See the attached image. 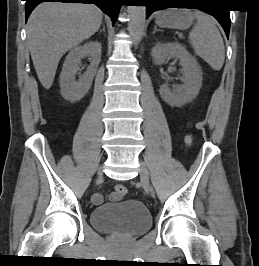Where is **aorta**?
<instances>
[{"mask_svg":"<svg viewBox=\"0 0 259 266\" xmlns=\"http://www.w3.org/2000/svg\"><path fill=\"white\" fill-rule=\"evenodd\" d=\"M128 31L134 42H139L145 25V6H128Z\"/></svg>","mask_w":259,"mask_h":266,"instance_id":"obj_1","label":"aorta"}]
</instances>
